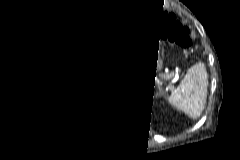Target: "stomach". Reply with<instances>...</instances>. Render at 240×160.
<instances>
[{"label": "stomach", "mask_w": 240, "mask_h": 160, "mask_svg": "<svg viewBox=\"0 0 240 160\" xmlns=\"http://www.w3.org/2000/svg\"><path fill=\"white\" fill-rule=\"evenodd\" d=\"M146 37L141 31L135 32L134 29H122L114 31L110 36V45L113 48L121 49L127 55L132 52H138L140 50L142 41L146 40ZM164 68V59L162 53V40H158L157 56H156V72H161Z\"/></svg>", "instance_id": "1"}]
</instances>
